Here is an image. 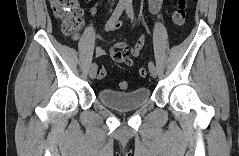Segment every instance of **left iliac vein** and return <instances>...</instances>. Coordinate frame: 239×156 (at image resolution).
Wrapping results in <instances>:
<instances>
[{
	"instance_id": "obj_1",
	"label": "left iliac vein",
	"mask_w": 239,
	"mask_h": 156,
	"mask_svg": "<svg viewBox=\"0 0 239 156\" xmlns=\"http://www.w3.org/2000/svg\"><path fill=\"white\" fill-rule=\"evenodd\" d=\"M149 71H150V74H151V76H152L153 78L157 77V69H156L155 66L149 68Z\"/></svg>"
}]
</instances>
